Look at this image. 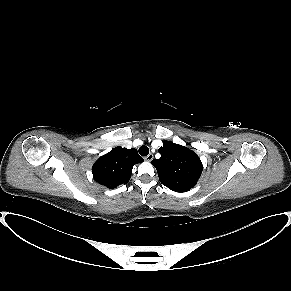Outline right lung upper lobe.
I'll use <instances>...</instances> for the list:
<instances>
[{
  "instance_id": "1",
  "label": "right lung upper lobe",
  "mask_w": 291,
  "mask_h": 291,
  "mask_svg": "<svg viewBox=\"0 0 291 291\" xmlns=\"http://www.w3.org/2000/svg\"><path fill=\"white\" fill-rule=\"evenodd\" d=\"M143 161L136 149L115 147L94 163L93 178L101 185L114 188L129 182L133 166Z\"/></svg>"
}]
</instances>
